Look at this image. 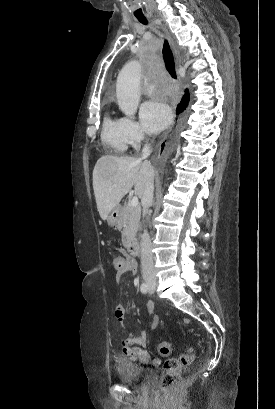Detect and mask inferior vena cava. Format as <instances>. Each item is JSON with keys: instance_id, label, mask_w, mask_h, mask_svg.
<instances>
[{"instance_id": "1", "label": "inferior vena cava", "mask_w": 275, "mask_h": 409, "mask_svg": "<svg viewBox=\"0 0 275 409\" xmlns=\"http://www.w3.org/2000/svg\"><path fill=\"white\" fill-rule=\"evenodd\" d=\"M151 152L150 146L145 144L142 148V158H146L149 156ZM153 190H154V182L150 180L147 182L144 190V194L142 196L143 202V215H147L149 207H151L153 202ZM141 269H142V277L144 281H153L156 283V273L154 271V263L152 257V249H151V239L147 233L144 231L141 239Z\"/></svg>"}]
</instances>
